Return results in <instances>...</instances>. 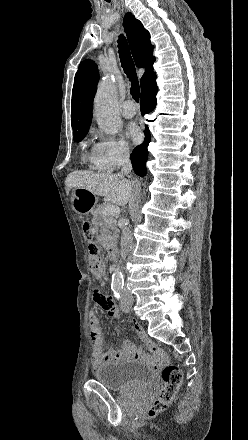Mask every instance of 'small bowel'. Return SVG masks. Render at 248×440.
Here are the masks:
<instances>
[{
    "label": "small bowel",
    "mask_w": 248,
    "mask_h": 440,
    "mask_svg": "<svg viewBox=\"0 0 248 440\" xmlns=\"http://www.w3.org/2000/svg\"><path fill=\"white\" fill-rule=\"evenodd\" d=\"M94 301L101 308L105 309L110 316H118L117 308L101 291L98 290L94 293ZM89 328L92 341L91 363L94 368L99 367L103 363L115 362L126 358H147L156 366L161 365L166 360L164 352L155 346L151 339L137 326L135 328L139 332L143 347L149 352V355H145L142 349L135 347L128 341L125 342L123 348L121 349H117L115 347L105 349L102 330L99 326V320L96 314L93 312L89 314Z\"/></svg>",
    "instance_id": "c3829d8e"
}]
</instances>
